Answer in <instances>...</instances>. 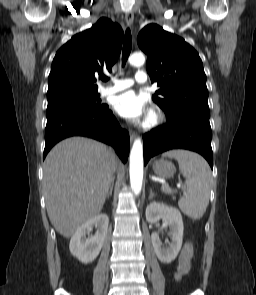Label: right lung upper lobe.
I'll use <instances>...</instances> for the list:
<instances>
[{
    "instance_id": "cb5924a9",
    "label": "right lung upper lobe",
    "mask_w": 256,
    "mask_h": 295,
    "mask_svg": "<svg viewBox=\"0 0 256 295\" xmlns=\"http://www.w3.org/2000/svg\"><path fill=\"white\" fill-rule=\"evenodd\" d=\"M123 30L108 18L76 34L56 53L48 77L47 99L72 92L97 93L96 77L111 72L117 61Z\"/></svg>"
}]
</instances>
